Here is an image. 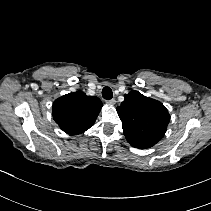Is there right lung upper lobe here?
<instances>
[{
    "label": "right lung upper lobe",
    "mask_w": 211,
    "mask_h": 211,
    "mask_svg": "<svg viewBox=\"0 0 211 211\" xmlns=\"http://www.w3.org/2000/svg\"><path fill=\"white\" fill-rule=\"evenodd\" d=\"M102 106L99 98L77 91L54 101L53 118L67 134H81L94 124Z\"/></svg>",
    "instance_id": "1"
}]
</instances>
